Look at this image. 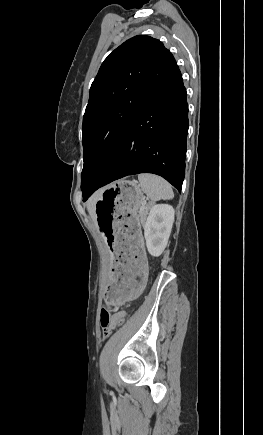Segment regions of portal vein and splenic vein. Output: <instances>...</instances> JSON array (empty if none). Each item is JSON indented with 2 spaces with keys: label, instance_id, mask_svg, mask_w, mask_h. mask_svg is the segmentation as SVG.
Segmentation results:
<instances>
[{
  "label": "portal vein and splenic vein",
  "instance_id": "18ae733b",
  "mask_svg": "<svg viewBox=\"0 0 263 435\" xmlns=\"http://www.w3.org/2000/svg\"><path fill=\"white\" fill-rule=\"evenodd\" d=\"M145 209L144 204L140 207V211H143Z\"/></svg>",
  "mask_w": 263,
  "mask_h": 435
}]
</instances>
